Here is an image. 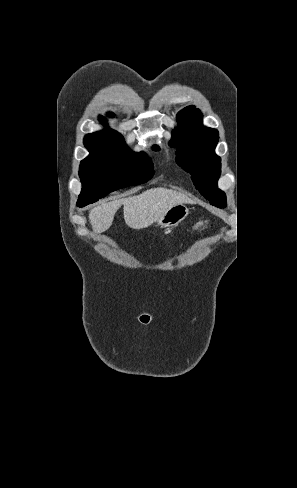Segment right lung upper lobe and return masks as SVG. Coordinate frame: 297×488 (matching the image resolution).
<instances>
[{
  "label": "right lung upper lobe",
  "mask_w": 297,
  "mask_h": 488,
  "mask_svg": "<svg viewBox=\"0 0 297 488\" xmlns=\"http://www.w3.org/2000/svg\"><path fill=\"white\" fill-rule=\"evenodd\" d=\"M112 116V114H110ZM100 119L103 122H106V119L103 117H100ZM113 138H123L121 134L118 132L107 129L101 132H95V133H90L85 136L84 138V145L86 146L87 149L89 150H95L99 148L101 142L106 139H113Z\"/></svg>",
  "instance_id": "right-lung-upper-lobe-1"
}]
</instances>
